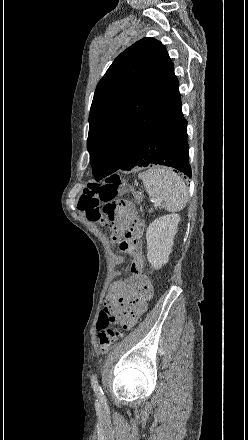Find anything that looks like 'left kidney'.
<instances>
[{
    "mask_svg": "<svg viewBox=\"0 0 248 440\" xmlns=\"http://www.w3.org/2000/svg\"><path fill=\"white\" fill-rule=\"evenodd\" d=\"M179 221V214L164 215L155 219L147 228V258L156 270L169 260Z\"/></svg>",
    "mask_w": 248,
    "mask_h": 440,
    "instance_id": "obj_1",
    "label": "left kidney"
}]
</instances>
